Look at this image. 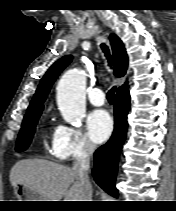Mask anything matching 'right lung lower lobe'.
Instances as JSON below:
<instances>
[{"label":"right lung lower lobe","instance_id":"obj_1","mask_svg":"<svg viewBox=\"0 0 176 211\" xmlns=\"http://www.w3.org/2000/svg\"><path fill=\"white\" fill-rule=\"evenodd\" d=\"M129 107V91L117 93L114 99V132L110 140L94 154V168L92 169L94 179L102 189L114 197L118 196L115 179L119 154L127 132V113Z\"/></svg>","mask_w":176,"mask_h":211}]
</instances>
